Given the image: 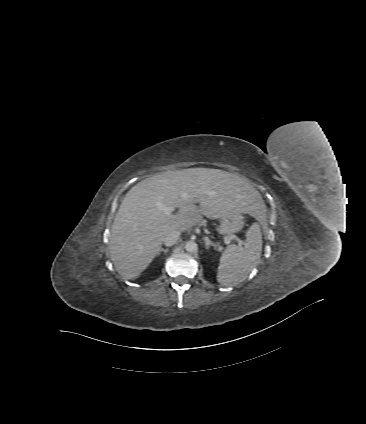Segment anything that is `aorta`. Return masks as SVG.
Instances as JSON below:
<instances>
[{"mask_svg": "<svg viewBox=\"0 0 366 424\" xmlns=\"http://www.w3.org/2000/svg\"><path fill=\"white\" fill-rule=\"evenodd\" d=\"M185 249L188 252H195V251H197L198 247H197L196 242L189 240L185 243Z\"/></svg>", "mask_w": 366, "mask_h": 424, "instance_id": "1", "label": "aorta"}]
</instances>
